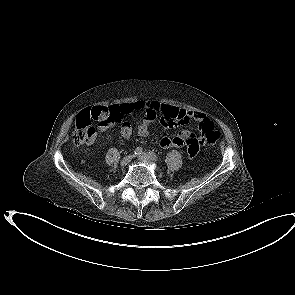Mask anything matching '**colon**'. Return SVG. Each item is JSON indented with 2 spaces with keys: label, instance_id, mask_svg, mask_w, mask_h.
I'll return each mask as SVG.
<instances>
[{
  "label": "colon",
  "instance_id": "colon-1",
  "mask_svg": "<svg viewBox=\"0 0 295 295\" xmlns=\"http://www.w3.org/2000/svg\"><path fill=\"white\" fill-rule=\"evenodd\" d=\"M111 111L106 107H95L79 114L75 122V130L72 135L74 144L80 146L92 141L96 134L95 125L102 117H109ZM200 130L207 144L214 145L219 133L211 120H204L200 123Z\"/></svg>",
  "mask_w": 295,
  "mask_h": 295
}]
</instances>
